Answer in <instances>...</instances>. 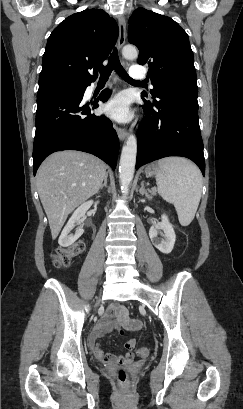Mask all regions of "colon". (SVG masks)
Wrapping results in <instances>:
<instances>
[{
	"instance_id": "1",
	"label": "colon",
	"mask_w": 243,
	"mask_h": 409,
	"mask_svg": "<svg viewBox=\"0 0 243 409\" xmlns=\"http://www.w3.org/2000/svg\"><path fill=\"white\" fill-rule=\"evenodd\" d=\"M85 246V241H78L68 248L57 249L54 254V265L57 268L68 266L72 258L84 251ZM138 354L141 357H147L149 355V349L146 347H140L138 348ZM117 379L120 383H125L127 381V372L125 369L120 368L117 371Z\"/></svg>"
}]
</instances>
